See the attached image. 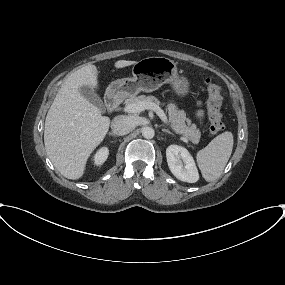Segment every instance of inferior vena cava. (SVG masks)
Listing matches in <instances>:
<instances>
[{
  "label": "inferior vena cava",
  "mask_w": 285,
  "mask_h": 285,
  "mask_svg": "<svg viewBox=\"0 0 285 285\" xmlns=\"http://www.w3.org/2000/svg\"><path fill=\"white\" fill-rule=\"evenodd\" d=\"M135 127L131 117L125 115L116 116L111 122V129L115 135L123 136L131 132Z\"/></svg>",
  "instance_id": "1"
}]
</instances>
